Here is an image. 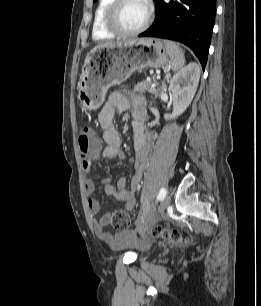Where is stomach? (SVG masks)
I'll list each match as a JSON object with an SVG mask.
<instances>
[{
  "label": "stomach",
  "instance_id": "obj_1",
  "mask_svg": "<svg viewBox=\"0 0 261 306\" xmlns=\"http://www.w3.org/2000/svg\"><path fill=\"white\" fill-rule=\"evenodd\" d=\"M168 61L166 47L156 38L97 46L86 56L78 85L79 100L85 109H96L111 86L126 81L135 71L160 68Z\"/></svg>",
  "mask_w": 261,
  "mask_h": 306
}]
</instances>
